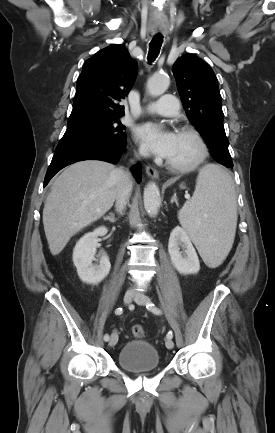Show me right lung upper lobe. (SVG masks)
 Instances as JSON below:
<instances>
[{
    "instance_id": "1",
    "label": "right lung upper lobe",
    "mask_w": 275,
    "mask_h": 433,
    "mask_svg": "<svg viewBox=\"0 0 275 433\" xmlns=\"http://www.w3.org/2000/svg\"><path fill=\"white\" fill-rule=\"evenodd\" d=\"M136 74L137 63L124 46L113 44L98 51L83 65L70 118L123 116L124 106L117 102L129 93Z\"/></svg>"
}]
</instances>
